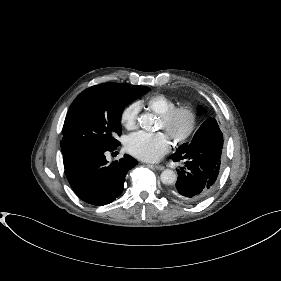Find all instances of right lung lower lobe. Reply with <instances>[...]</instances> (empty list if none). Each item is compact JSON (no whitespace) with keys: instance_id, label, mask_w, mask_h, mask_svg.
<instances>
[{"instance_id":"1","label":"right lung lower lobe","mask_w":281,"mask_h":281,"mask_svg":"<svg viewBox=\"0 0 281 281\" xmlns=\"http://www.w3.org/2000/svg\"><path fill=\"white\" fill-rule=\"evenodd\" d=\"M115 148L86 150L64 162L66 177L82 201L103 206L122 193L127 172L138 162L125 154L109 164L104 153Z\"/></svg>"}]
</instances>
